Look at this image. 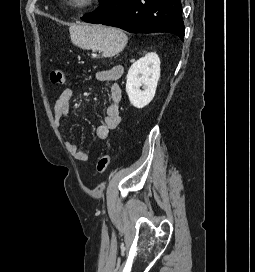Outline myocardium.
Here are the masks:
<instances>
[{
    "instance_id": "myocardium-1",
    "label": "myocardium",
    "mask_w": 255,
    "mask_h": 272,
    "mask_svg": "<svg viewBox=\"0 0 255 272\" xmlns=\"http://www.w3.org/2000/svg\"><path fill=\"white\" fill-rule=\"evenodd\" d=\"M97 0H68L69 5L77 10H84L96 4Z\"/></svg>"
}]
</instances>
